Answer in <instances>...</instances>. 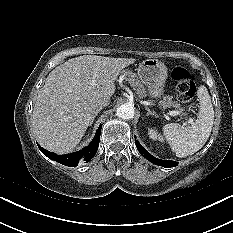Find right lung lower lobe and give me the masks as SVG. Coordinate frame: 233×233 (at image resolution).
Here are the masks:
<instances>
[{"instance_id": "obj_1", "label": "right lung lower lobe", "mask_w": 233, "mask_h": 233, "mask_svg": "<svg viewBox=\"0 0 233 233\" xmlns=\"http://www.w3.org/2000/svg\"><path fill=\"white\" fill-rule=\"evenodd\" d=\"M101 126L102 125L99 126L97 134L95 138L92 140V142L80 151L66 155H57L55 153L45 150L39 145L38 147L40 151L48 158L66 166L76 167L80 160L88 162L96 154L100 141Z\"/></svg>"}]
</instances>
